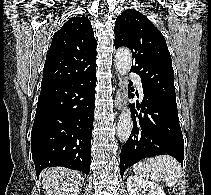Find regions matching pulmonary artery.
<instances>
[{
  "label": "pulmonary artery",
  "mask_w": 211,
  "mask_h": 195,
  "mask_svg": "<svg viewBox=\"0 0 211 195\" xmlns=\"http://www.w3.org/2000/svg\"><path fill=\"white\" fill-rule=\"evenodd\" d=\"M131 78L134 80L135 84L138 87V90L141 94V96L143 95V90H142V82L140 80V78L136 75V74H131Z\"/></svg>",
  "instance_id": "e3ab8cb5"
}]
</instances>
